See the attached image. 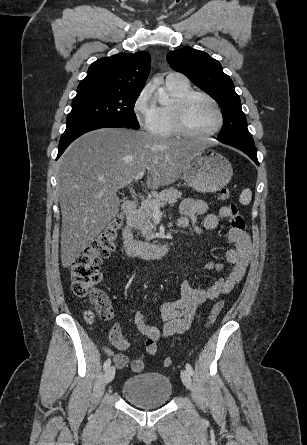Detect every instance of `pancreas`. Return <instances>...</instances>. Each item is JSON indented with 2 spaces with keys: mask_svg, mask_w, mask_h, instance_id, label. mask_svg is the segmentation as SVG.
I'll return each mask as SVG.
<instances>
[{
  "mask_svg": "<svg viewBox=\"0 0 307 445\" xmlns=\"http://www.w3.org/2000/svg\"><path fill=\"white\" fill-rule=\"evenodd\" d=\"M182 192L178 188H165L162 192H159L155 198H149L148 202H142L138 210L135 212L136 227L140 229L142 237H146L145 241H151L155 239L156 233L153 229H156L153 223L154 206L149 204H156V206H164L167 202H177V198H181Z\"/></svg>",
  "mask_w": 307,
  "mask_h": 445,
  "instance_id": "cf45deb5",
  "label": "pancreas"
}]
</instances>
